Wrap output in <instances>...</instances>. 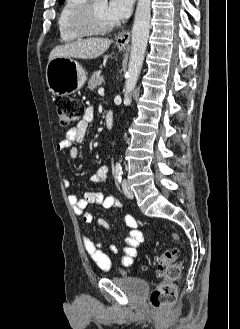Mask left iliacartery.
Wrapping results in <instances>:
<instances>
[{
  "mask_svg": "<svg viewBox=\"0 0 240 329\" xmlns=\"http://www.w3.org/2000/svg\"><path fill=\"white\" fill-rule=\"evenodd\" d=\"M114 173H115V178H116L117 182L121 183L122 175H123L122 167L120 165H116Z\"/></svg>",
  "mask_w": 240,
  "mask_h": 329,
  "instance_id": "obj_1",
  "label": "left iliac artery"
}]
</instances>
